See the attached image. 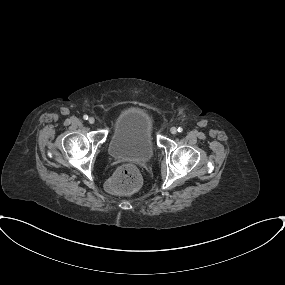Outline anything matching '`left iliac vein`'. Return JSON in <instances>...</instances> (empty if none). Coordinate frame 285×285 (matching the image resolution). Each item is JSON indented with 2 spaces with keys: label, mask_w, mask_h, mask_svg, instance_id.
<instances>
[{
  "label": "left iliac vein",
  "mask_w": 285,
  "mask_h": 285,
  "mask_svg": "<svg viewBox=\"0 0 285 285\" xmlns=\"http://www.w3.org/2000/svg\"><path fill=\"white\" fill-rule=\"evenodd\" d=\"M170 132H171L172 134H176V133H177V129H176L175 127H172V128L170 129Z\"/></svg>",
  "instance_id": "4c4485c4"
}]
</instances>
